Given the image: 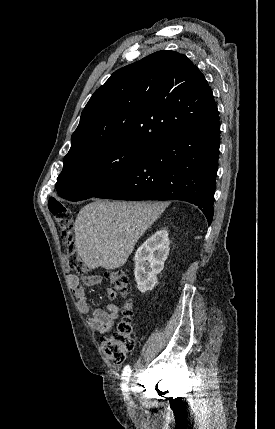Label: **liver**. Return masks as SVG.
<instances>
[{
	"instance_id": "1",
	"label": "liver",
	"mask_w": 275,
	"mask_h": 429,
	"mask_svg": "<svg viewBox=\"0 0 275 429\" xmlns=\"http://www.w3.org/2000/svg\"><path fill=\"white\" fill-rule=\"evenodd\" d=\"M165 207L162 202L96 200L87 204L74 225L75 245L82 261L89 269L123 266Z\"/></svg>"
}]
</instances>
